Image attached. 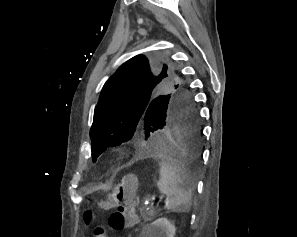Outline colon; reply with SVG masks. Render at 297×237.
<instances>
[{
  "mask_svg": "<svg viewBox=\"0 0 297 237\" xmlns=\"http://www.w3.org/2000/svg\"><path fill=\"white\" fill-rule=\"evenodd\" d=\"M135 182L134 177L126 178L123 182L112 188L106 198L98 202L102 209L113 210L108 221L109 227L113 230H122L137 224L138 218L132 205ZM92 220V211H86L84 214L85 223L90 225ZM103 232V228H97L95 230L97 236H100Z\"/></svg>",
  "mask_w": 297,
  "mask_h": 237,
  "instance_id": "5ec220e1",
  "label": "colon"
}]
</instances>
